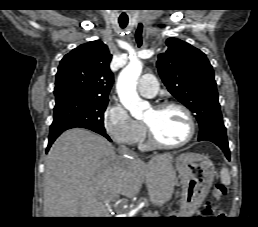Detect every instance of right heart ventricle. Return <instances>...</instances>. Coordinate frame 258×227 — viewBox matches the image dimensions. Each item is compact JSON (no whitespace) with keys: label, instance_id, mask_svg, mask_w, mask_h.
Listing matches in <instances>:
<instances>
[{"label":"right heart ventricle","instance_id":"obj_1","mask_svg":"<svg viewBox=\"0 0 258 227\" xmlns=\"http://www.w3.org/2000/svg\"><path fill=\"white\" fill-rule=\"evenodd\" d=\"M140 145H141V147L144 148V149H147V148H150V147H151L150 142L145 140V135H144L143 138L141 139Z\"/></svg>","mask_w":258,"mask_h":227}]
</instances>
